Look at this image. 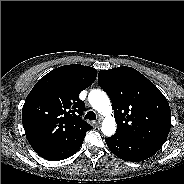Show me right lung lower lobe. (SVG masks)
I'll return each instance as SVG.
<instances>
[{
  "label": "right lung lower lobe",
  "instance_id": "98d812e1",
  "mask_svg": "<svg viewBox=\"0 0 184 184\" xmlns=\"http://www.w3.org/2000/svg\"><path fill=\"white\" fill-rule=\"evenodd\" d=\"M83 140L84 139L74 144L41 152V153H38V155L47 160H52V161L63 160L75 154L78 151V149L81 147Z\"/></svg>",
  "mask_w": 184,
  "mask_h": 184
}]
</instances>
